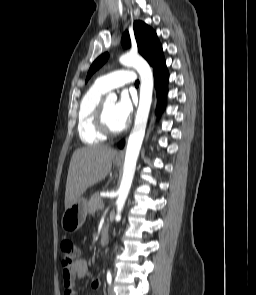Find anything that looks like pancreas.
<instances>
[{"instance_id": "obj_1", "label": "pancreas", "mask_w": 256, "mask_h": 295, "mask_svg": "<svg viewBox=\"0 0 256 295\" xmlns=\"http://www.w3.org/2000/svg\"><path fill=\"white\" fill-rule=\"evenodd\" d=\"M104 203L98 194H93L89 200L87 211L89 214H94L97 210L102 209Z\"/></svg>"}]
</instances>
